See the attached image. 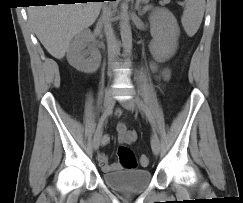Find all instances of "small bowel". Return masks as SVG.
I'll use <instances>...</instances> for the list:
<instances>
[{
  "mask_svg": "<svg viewBox=\"0 0 243 203\" xmlns=\"http://www.w3.org/2000/svg\"><path fill=\"white\" fill-rule=\"evenodd\" d=\"M151 69L153 70V72L158 74V78L160 80L166 81L170 78L171 70L167 67L159 68L156 63H152ZM117 132H118V140L119 143L121 144L130 145L134 143L137 139V133L133 130H129L124 123H118ZM109 142H110V137L109 135L105 134L101 139V143L103 146H105L109 144ZM97 159L101 168L106 172L116 171L121 168L119 162L109 163L108 157L104 153H99Z\"/></svg>",
  "mask_w": 243,
  "mask_h": 203,
  "instance_id": "small-bowel-1",
  "label": "small bowel"
}]
</instances>
